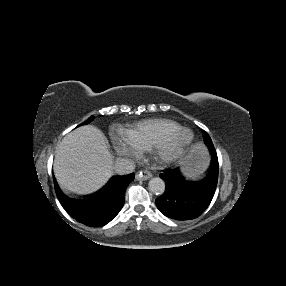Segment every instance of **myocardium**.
<instances>
[{"instance_id":"f54148a6","label":"myocardium","mask_w":286,"mask_h":286,"mask_svg":"<svg viewBox=\"0 0 286 286\" xmlns=\"http://www.w3.org/2000/svg\"><path fill=\"white\" fill-rule=\"evenodd\" d=\"M187 136V139H184ZM196 142V135L189 128H182L169 138L159 141L151 147L155 159L166 165L174 164L189 152Z\"/></svg>"}]
</instances>
